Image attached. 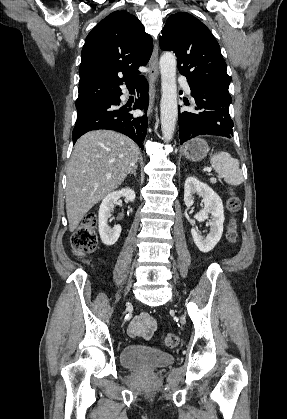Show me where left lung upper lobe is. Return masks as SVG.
Masks as SVG:
<instances>
[{
	"instance_id": "5c2ea615",
	"label": "left lung upper lobe",
	"mask_w": 287,
	"mask_h": 419,
	"mask_svg": "<svg viewBox=\"0 0 287 419\" xmlns=\"http://www.w3.org/2000/svg\"><path fill=\"white\" fill-rule=\"evenodd\" d=\"M160 48L174 51L179 72L189 84L228 91L231 77L220 47L209 29L194 16H169L159 38Z\"/></svg>"
}]
</instances>
